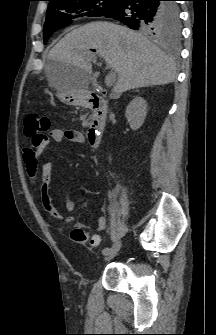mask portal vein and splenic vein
<instances>
[{
	"label": "portal vein and splenic vein",
	"mask_w": 216,
	"mask_h": 335,
	"mask_svg": "<svg viewBox=\"0 0 216 335\" xmlns=\"http://www.w3.org/2000/svg\"><path fill=\"white\" fill-rule=\"evenodd\" d=\"M87 57L91 58V57H95V55H93L92 53H88ZM115 81H116V75H115V73L110 71L109 74L107 75L106 79H105V85L107 87H111L115 83Z\"/></svg>",
	"instance_id": "obj_1"
}]
</instances>
